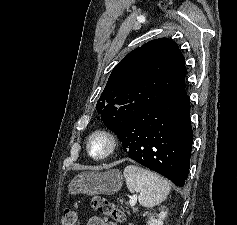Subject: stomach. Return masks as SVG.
Returning <instances> with one entry per match:
<instances>
[{
  "label": "stomach",
  "instance_id": "1",
  "mask_svg": "<svg viewBox=\"0 0 237 225\" xmlns=\"http://www.w3.org/2000/svg\"><path fill=\"white\" fill-rule=\"evenodd\" d=\"M123 184V175L117 169L105 172L86 171L78 174L69 184L71 194L88 195L117 193Z\"/></svg>",
  "mask_w": 237,
  "mask_h": 225
}]
</instances>
